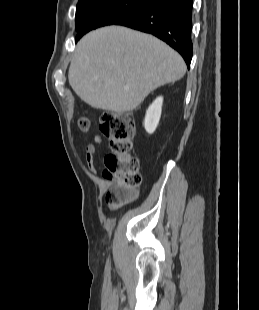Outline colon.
<instances>
[{
  "instance_id": "obj_1",
  "label": "colon",
  "mask_w": 259,
  "mask_h": 310,
  "mask_svg": "<svg viewBox=\"0 0 259 310\" xmlns=\"http://www.w3.org/2000/svg\"><path fill=\"white\" fill-rule=\"evenodd\" d=\"M79 127L83 132L88 131L90 121L81 118ZM100 130L111 149L104 158V176L116 181V186L106 196L107 206L113 210L129 202L141 183L139 160L132 154L135 122L131 115L108 113L100 120Z\"/></svg>"
}]
</instances>
